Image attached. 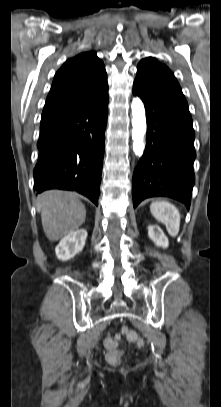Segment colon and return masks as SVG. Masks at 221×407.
Masks as SVG:
<instances>
[{"label": "colon", "instance_id": "obj_1", "mask_svg": "<svg viewBox=\"0 0 221 407\" xmlns=\"http://www.w3.org/2000/svg\"><path fill=\"white\" fill-rule=\"evenodd\" d=\"M123 333L126 335L128 341L130 343L137 345V346L143 345V340L140 338V336L136 332L131 331L125 327V328H123ZM118 340H119V335H115L113 337H107L104 340V345H105L106 349L108 350L107 359L111 364H117L123 356V352L116 349Z\"/></svg>", "mask_w": 221, "mask_h": 407}]
</instances>
